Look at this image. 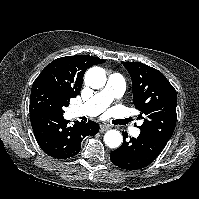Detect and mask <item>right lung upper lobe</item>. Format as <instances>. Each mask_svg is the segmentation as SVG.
<instances>
[{
	"label": "right lung upper lobe",
	"mask_w": 199,
	"mask_h": 199,
	"mask_svg": "<svg viewBox=\"0 0 199 199\" xmlns=\"http://www.w3.org/2000/svg\"><path fill=\"white\" fill-rule=\"evenodd\" d=\"M105 60L88 55L66 56L48 64L36 78L32 90L49 89L66 100L76 97L81 90L87 68Z\"/></svg>",
	"instance_id": "cb5924a9"
}]
</instances>
